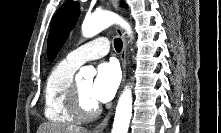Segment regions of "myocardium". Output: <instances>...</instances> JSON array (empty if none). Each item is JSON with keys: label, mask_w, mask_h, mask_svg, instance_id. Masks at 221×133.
I'll return each instance as SVG.
<instances>
[{"label": "myocardium", "mask_w": 221, "mask_h": 133, "mask_svg": "<svg viewBox=\"0 0 221 133\" xmlns=\"http://www.w3.org/2000/svg\"><path fill=\"white\" fill-rule=\"evenodd\" d=\"M68 106L78 120H90L99 114V106L95 102L91 108L86 107L77 83L73 82L68 93Z\"/></svg>", "instance_id": "1"}]
</instances>
